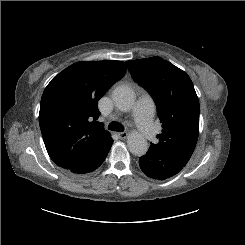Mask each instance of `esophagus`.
Returning a JSON list of instances; mask_svg holds the SVG:
<instances>
[{
  "instance_id": "1",
  "label": "esophagus",
  "mask_w": 245,
  "mask_h": 245,
  "mask_svg": "<svg viewBox=\"0 0 245 245\" xmlns=\"http://www.w3.org/2000/svg\"><path fill=\"white\" fill-rule=\"evenodd\" d=\"M120 139H125L128 136L127 132H119L117 133Z\"/></svg>"
}]
</instances>
